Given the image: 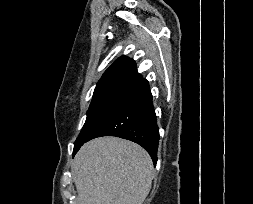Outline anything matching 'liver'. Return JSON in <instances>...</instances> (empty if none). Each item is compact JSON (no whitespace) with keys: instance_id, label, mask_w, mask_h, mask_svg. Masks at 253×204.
I'll list each match as a JSON object with an SVG mask.
<instances>
[{"instance_id":"liver-1","label":"liver","mask_w":253,"mask_h":204,"mask_svg":"<svg viewBox=\"0 0 253 204\" xmlns=\"http://www.w3.org/2000/svg\"><path fill=\"white\" fill-rule=\"evenodd\" d=\"M150 155L114 136L85 143L71 166L77 204H143L153 179Z\"/></svg>"}]
</instances>
